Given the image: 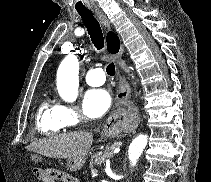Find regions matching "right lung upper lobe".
I'll list each match as a JSON object with an SVG mask.
<instances>
[{"mask_svg":"<svg viewBox=\"0 0 211 182\" xmlns=\"http://www.w3.org/2000/svg\"><path fill=\"white\" fill-rule=\"evenodd\" d=\"M120 48V42L116 34L109 32L107 34V50L110 53H117Z\"/></svg>","mask_w":211,"mask_h":182,"instance_id":"obj_1","label":"right lung upper lobe"}]
</instances>
